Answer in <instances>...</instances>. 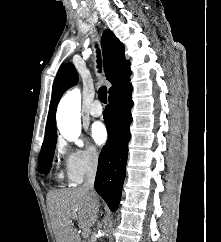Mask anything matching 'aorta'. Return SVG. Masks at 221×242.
Here are the masks:
<instances>
[{"label":"aorta","mask_w":221,"mask_h":242,"mask_svg":"<svg viewBox=\"0 0 221 242\" xmlns=\"http://www.w3.org/2000/svg\"><path fill=\"white\" fill-rule=\"evenodd\" d=\"M81 93L78 88L68 91L57 109V125L60 133L68 140H77L81 133Z\"/></svg>","instance_id":"obj_1"}]
</instances>
